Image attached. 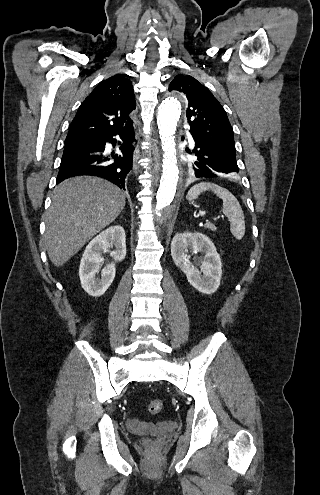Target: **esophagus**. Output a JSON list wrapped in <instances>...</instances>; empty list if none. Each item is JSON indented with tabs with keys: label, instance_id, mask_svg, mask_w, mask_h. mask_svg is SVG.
Here are the masks:
<instances>
[{
	"label": "esophagus",
	"instance_id": "esophagus-1",
	"mask_svg": "<svg viewBox=\"0 0 320 495\" xmlns=\"http://www.w3.org/2000/svg\"><path fill=\"white\" fill-rule=\"evenodd\" d=\"M139 156H140V151H139V149H136L134 151V154H133V161H134V168L135 169L138 168L136 163H137V160L139 159Z\"/></svg>",
	"mask_w": 320,
	"mask_h": 495
}]
</instances>
